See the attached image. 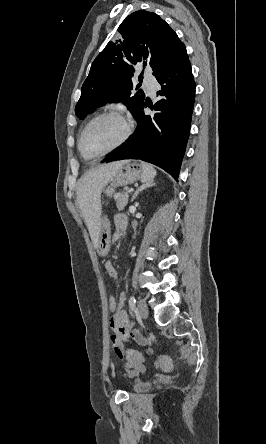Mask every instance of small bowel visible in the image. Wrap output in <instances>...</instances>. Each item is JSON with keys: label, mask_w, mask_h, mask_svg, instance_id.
<instances>
[{"label": "small bowel", "mask_w": 266, "mask_h": 444, "mask_svg": "<svg viewBox=\"0 0 266 444\" xmlns=\"http://www.w3.org/2000/svg\"><path fill=\"white\" fill-rule=\"evenodd\" d=\"M114 224L115 231L113 235V240L116 241L124 234L126 230V217L122 214L117 215L114 219ZM105 269L110 278H118L117 270L111 261H107L105 263ZM125 299V293H121L119 296L117 310L110 319V328L112 330V334L110 336V345L115 354L122 360L126 359V351L122 345V340L135 342L140 345H147L149 342V339L141 330L130 329L128 313L124 307ZM131 369L132 373H137L142 372L144 370V367L141 366Z\"/></svg>", "instance_id": "c3829d8e"}]
</instances>
